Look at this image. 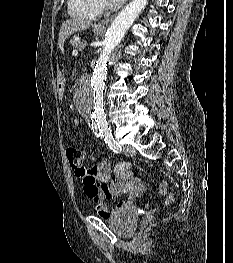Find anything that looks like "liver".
Returning <instances> with one entry per match:
<instances>
[{"instance_id": "obj_1", "label": "liver", "mask_w": 233, "mask_h": 263, "mask_svg": "<svg viewBox=\"0 0 233 263\" xmlns=\"http://www.w3.org/2000/svg\"><path fill=\"white\" fill-rule=\"evenodd\" d=\"M90 26H91V22L86 21L84 19L72 18L66 20L62 24L59 32L58 45L60 50L63 51L64 41L66 40L67 37L74 34L75 32L86 30Z\"/></svg>"}]
</instances>
